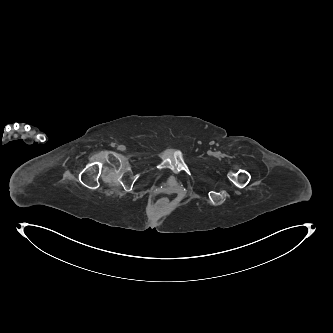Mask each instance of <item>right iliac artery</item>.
<instances>
[{
  "label": "right iliac artery",
  "instance_id": "82829eb1",
  "mask_svg": "<svg viewBox=\"0 0 333 333\" xmlns=\"http://www.w3.org/2000/svg\"><path fill=\"white\" fill-rule=\"evenodd\" d=\"M118 149L121 150V151H124L126 148H125L124 145H119V146H118Z\"/></svg>",
  "mask_w": 333,
  "mask_h": 333
}]
</instances>
